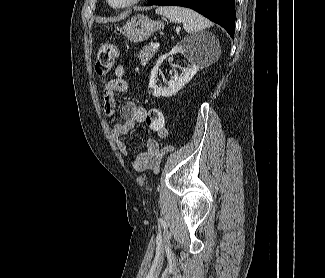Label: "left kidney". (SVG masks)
<instances>
[{
  "label": "left kidney",
  "mask_w": 325,
  "mask_h": 278,
  "mask_svg": "<svg viewBox=\"0 0 325 278\" xmlns=\"http://www.w3.org/2000/svg\"><path fill=\"white\" fill-rule=\"evenodd\" d=\"M206 46L207 42L201 36H189L185 37L180 44L173 47L168 54L161 56L151 71L148 86L149 93L155 97H170L180 91L199 71ZM178 53L183 54L191 61V65L183 69L180 75L175 74L173 79L168 82V86L159 87L157 85L159 66L169 55L172 56Z\"/></svg>",
  "instance_id": "1"
}]
</instances>
